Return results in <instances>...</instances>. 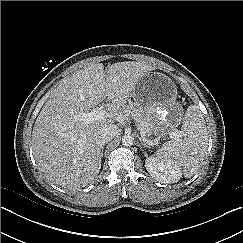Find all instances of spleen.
<instances>
[{
    "mask_svg": "<svg viewBox=\"0 0 243 243\" xmlns=\"http://www.w3.org/2000/svg\"><path fill=\"white\" fill-rule=\"evenodd\" d=\"M208 132L197 105H190L185 113L180 133H175L157 151L155 158L183 167L184 176L191 178L199 169L208 148Z\"/></svg>",
    "mask_w": 243,
    "mask_h": 243,
    "instance_id": "obj_1",
    "label": "spleen"
}]
</instances>
